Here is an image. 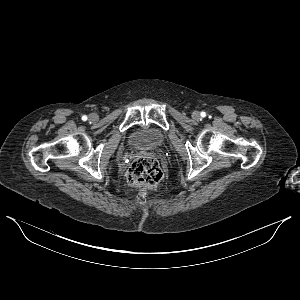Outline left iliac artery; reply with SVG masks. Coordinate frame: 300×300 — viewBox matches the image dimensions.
Listing matches in <instances>:
<instances>
[{
    "label": "left iliac artery",
    "mask_w": 300,
    "mask_h": 300,
    "mask_svg": "<svg viewBox=\"0 0 300 300\" xmlns=\"http://www.w3.org/2000/svg\"><path fill=\"white\" fill-rule=\"evenodd\" d=\"M205 114L201 113V116L204 117Z\"/></svg>",
    "instance_id": "44dca946"
}]
</instances>
